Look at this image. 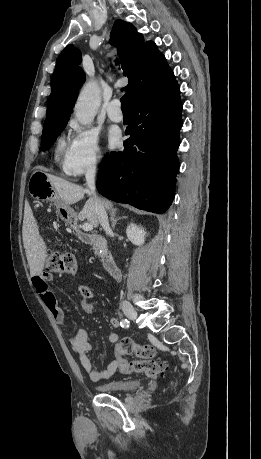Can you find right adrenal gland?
Listing matches in <instances>:
<instances>
[{
	"instance_id": "1",
	"label": "right adrenal gland",
	"mask_w": 261,
	"mask_h": 459,
	"mask_svg": "<svg viewBox=\"0 0 261 459\" xmlns=\"http://www.w3.org/2000/svg\"><path fill=\"white\" fill-rule=\"evenodd\" d=\"M126 218H128V217L127 216H123V217L117 218L116 217V212L112 211L110 213V220H111V223H112V229L115 228V225L119 220L126 219Z\"/></svg>"
}]
</instances>
